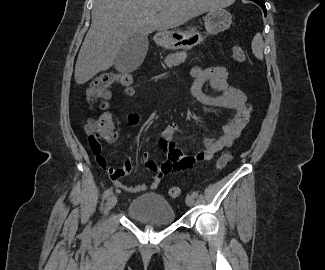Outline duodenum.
<instances>
[{"label":"duodenum","mask_w":325,"mask_h":270,"mask_svg":"<svg viewBox=\"0 0 325 270\" xmlns=\"http://www.w3.org/2000/svg\"><path fill=\"white\" fill-rule=\"evenodd\" d=\"M159 38H162V35H158Z\"/></svg>","instance_id":"obj_1"}]
</instances>
